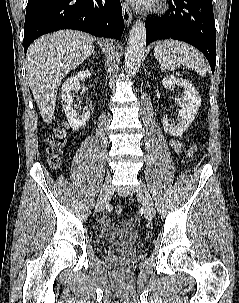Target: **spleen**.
Returning <instances> with one entry per match:
<instances>
[{
  "label": "spleen",
  "instance_id": "1",
  "mask_svg": "<svg viewBox=\"0 0 239 303\" xmlns=\"http://www.w3.org/2000/svg\"><path fill=\"white\" fill-rule=\"evenodd\" d=\"M154 55L161 67L174 71L180 65L205 76L207 65L204 56L193 46L176 40L160 41L154 49Z\"/></svg>",
  "mask_w": 239,
  "mask_h": 303
}]
</instances>
